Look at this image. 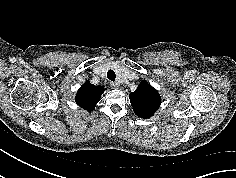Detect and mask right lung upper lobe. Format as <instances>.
I'll list each match as a JSON object with an SVG mask.
<instances>
[{"mask_svg":"<svg viewBox=\"0 0 236 178\" xmlns=\"http://www.w3.org/2000/svg\"><path fill=\"white\" fill-rule=\"evenodd\" d=\"M105 89L101 86H94L89 81L81 86L76 95V103L84 108L92 111L100 100L101 94Z\"/></svg>","mask_w":236,"mask_h":178,"instance_id":"cb5924a9","label":"right lung upper lobe"}]
</instances>
